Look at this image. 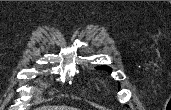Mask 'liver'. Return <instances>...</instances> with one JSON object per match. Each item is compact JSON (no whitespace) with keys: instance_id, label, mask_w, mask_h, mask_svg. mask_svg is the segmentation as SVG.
<instances>
[{"instance_id":"1","label":"liver","mask_w":171,"mask_h":110,"mask_svg":"<svg viewBox=\"0 0 171 110\" xmlns=\"http://www.w3.org/2000/svg\"><path fill=\"white\" fill-rule=\"evenodd\" d=\"M37 110H77V109L69 106H42L39 107Z\"/></svg>"}]
</instances>
